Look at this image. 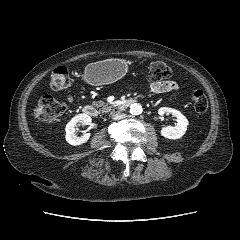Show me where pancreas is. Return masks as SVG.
Wrapping results in <instances>:
<instances>
[{
  "label": "pancreas",
  "mask_w": 240,
  "mask_h": 240,
  "mask_svg": "<svg viewBox=\"0 0 240 240\" xmlns=\"http://www.w3.org/2000/svg\"><path fill=\"white\" fill-rule=\"evenodd\" d=\"M93 105L97 108H101L102 111L109 110L110 106L106 104L105 102L99 101V102H93Z\"/></svg>",
  "instance_id": "cf45deb5"
}]
</instances>
